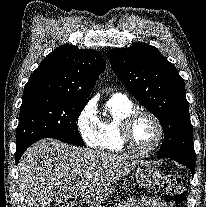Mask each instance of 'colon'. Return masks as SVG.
I'll return each instance as SVG.
<instances>
[{
    "mask_svg": "<svg viewBox=\"0 0 206 207\" xmlns=\"http://www.w3.org/2000/svg\"><path fill=\"white\" fill-rule=\"evenodd\" d=\"M161 193L169 207H181L186 197L182 180L179 176L169 175L161 185ZM61 207H75L72 204H64Z\"/></svg>",
    "mask_w": 206,
    "mask_h": 207,
    "instance_id": "colon-1",
    "label": "colon"
}]
</instances>
